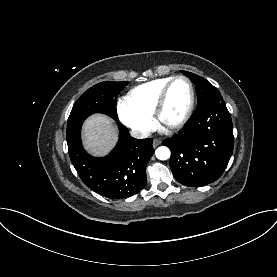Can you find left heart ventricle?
Here are the masks:
<instances>
[{"mask_svg": "<svg viewBox=\"0 0 277 277\" xmlns=\"http://www.w3.org/2000/svg\"><path fill=\"white\" fill-rule=\"evenodd\" d=\"M190 101V89L188 84L176 81L168 94L165 107L162 112V122L165 125L178 121L185 113Z\"/></svg>", "mask_w": 277, "mask_h": 277, "instance_id": "1", "label": "left heart ventricle"}]
</instances>
